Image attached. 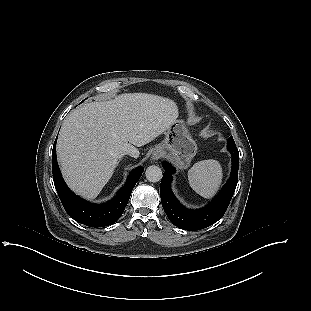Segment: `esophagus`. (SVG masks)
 Listing matches in <instances>:
<instances>
[{"mask_svg":"<svg viewBox=\"0 0 311 311\" xmlns=\"http://www.w3.org/2000/svg\"><path fill=\"white\" fill-rule=\"evenodd\" d=\"M161 157V151L159 149L154 150L151 159L157 161Z\"/></svg>","mask_w":311,"mask_h":311,"instance_id":"1","label":"esophagus"}]
</instances>
